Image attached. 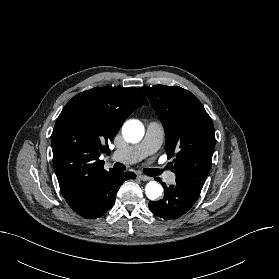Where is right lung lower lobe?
Here are the masks:
<instances>
[{"label": "right lung lower lobe", "mask_w": 279, "mask_h": 279, "mask_svg": "<svg viewBox=\"0 0 279 279\" xmlns=\"http://www.w3.org/2000/svg\"><path fill=\"white\" fill-rule=\"evenodd\" d=\"M135 177L136 175L131 172H108L97 182L88 201L74 211L80 216L88 219H95L102 216L112 208L121 184Z\"/></svg>", "instance_id": "right-lung-lower-lobe-1"}]
</instances>
